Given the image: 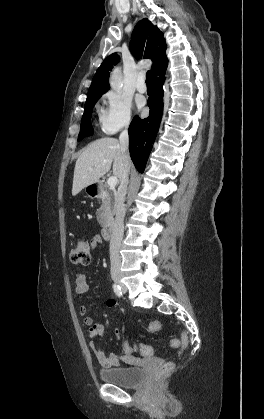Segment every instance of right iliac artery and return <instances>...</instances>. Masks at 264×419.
Segmentation results:
<instances>
[{
    "mask_svg": "<svg viewBox=\"0 0 264 419\" xmlns=\"http://www.w3.org/2000/svg\"><path fill=\"white\" fill-rule=\"evenodd\" d=\"M113 290L118 297L122 296V291L118 284H113Z\"/></svg>",
    "mask_w": 264,
    "mask_h": 419,
    "instance_id": "obj_1",
    "label": "right iliac artery"
}]
</instances>
